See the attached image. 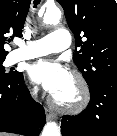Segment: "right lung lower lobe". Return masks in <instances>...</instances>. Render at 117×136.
Segmentation results:
<instances>
[{"instance_id":"obj_1","label":"right lung lower lobe","mask_w":117,"mask_h":136,"mask_svg":"<svg viewBox=\"0 0 117 136\" xmlns=\"http://www.w3.org/2000/svg\"><path fill=\"white\" fill-rule=\"evenodd\" d=\"M45 122L44 108L31 99L22 73L0 79V132L39 136Z\"/></svg>"}]
</instances>
